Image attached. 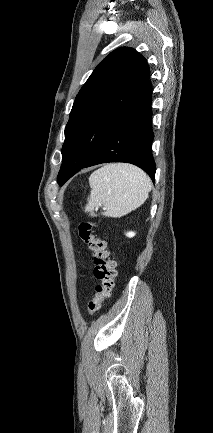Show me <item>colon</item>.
<instances>
[{"instance_id": "5ec220e1", "label": "colon", "mask_w": 213, "mask_h": 433, "mask_svg": "<svg viewBox=\"0 0 213 433\" xmlns=\"http://www.w3.org/2000/svg\"><path fill=\"white\" fill-rule=\"evenodd\" d=\"M94 222L83 220L77 226L80 239L88 245L93 253L94 276L98 283L95 287V295L88 303V314L94 315L101 307L104 300L109 298L114 287L116 276V264L112 259L107 242L94 233Z\"/></svg>"}]
</instances>
